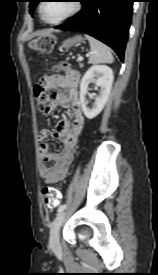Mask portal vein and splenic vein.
<instances>
[{
    "label": "portal vein and splenic vein",
    "mask_w": 158,
    "mask_h": 275,
    "mask_svg": "<svg viewBox=\"0 0 158 275\" xmlns=\"http://www.w3.org/2000/svg\"><path fill=\"white\" fill-rule=\"evenodd\" d=\"M78 60H79V61H82V60H83V57L79 55V56H78Z\"/></svg>",
    "instance_id": "18ae733b"
}]
</instances>
